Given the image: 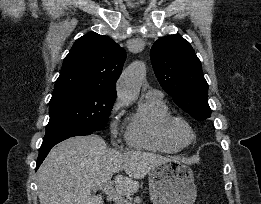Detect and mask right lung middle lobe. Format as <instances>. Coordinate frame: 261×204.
<instances>
[{
  "label": "right lung middle lobe",
  "instance_id": "1",
  "mask_svg": "<svg viewBox=\"0 0 261 204\" xmlns=\"http://www.w3.org/2000/svg\"><path fill=\"white\" fill-rule=\"evenodd\" d=\"M116 97L91 90L52 95L44 138L81 131H99L107 124Z\"/></svg>",
  "mask_w": 261,
  "mask_h": 204
}]
</instances>
